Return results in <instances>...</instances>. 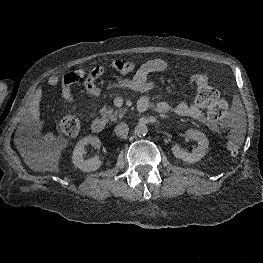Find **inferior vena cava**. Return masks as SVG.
<instances>
[{
	"instance_id": "obj_1",
	"label": "inferior vena cava",
	"mask_w": 263,
	"mask_h": 263,
	"mask_svg": "<svg viewBox=\"0 0 263 263\" xmlns=\"http://www.w3.org/2000/svg\"><path fill=\"white\" fill-rule=\"evenodd\" d=\"M129 127L126 123H119L115 127V133L119 137H125L128 134Z\"/></svg>"
}]
</instances>
